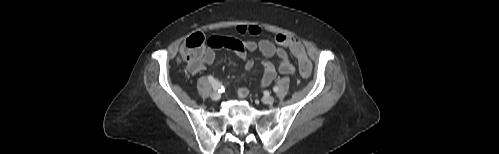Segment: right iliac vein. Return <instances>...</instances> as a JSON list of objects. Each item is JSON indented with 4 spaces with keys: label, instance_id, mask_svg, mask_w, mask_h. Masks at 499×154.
I'll list each match as a JSON object with an SVG mask.
<instances>
[{
    "label": "right iliac vein",
    "instance_id": "obj_1",
    "mask_svg": "<svg viewBox=\"0 0 499 154\" xmlns=\"http://www.w3.org/2000/svg\"><path fill=\"white\" fill-rule=\"evenodd\" d=\"M210 97H211V99H212L213 101H218V100H220V98H221L220 94H219V93H217V92H213V93H211Z\"/></svg>",
    "mask_w": 499,
    "mask_h": 154
}]
</instances>
